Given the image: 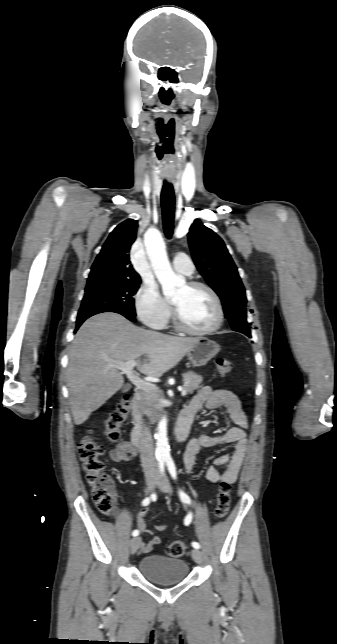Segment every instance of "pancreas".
I'll use <instances>...</instances> for the list:
<instances>
[{
    "label": "pancreas",
    "instance_id": "1",
    "mask_svg": "<svg viewBox=\"0 0 337 644\" xmlns=\"http://www.w3.org/2000/svg\"><path fill=\"white\" fill-rule=\"evenodd\" d=\"M184 389L187 394H192L195 390L199 389L202 382V376L195 372L189 371L183 375ZM161 394L157 391L144 393L141 397L140 403L143 407V412L150 417L151 422H154L159 416L158 413L162 410L163 406L158 403Z\"/></svg>",
    "mask_w": 337,
    "mask_h": 644
}]
</instances>
